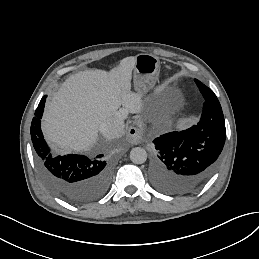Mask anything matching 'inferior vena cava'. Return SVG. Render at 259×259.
<instances>
[{
    "mask_svg": "<svg viewBox=\"0 0 259 259\" xmlns=\"http://www.w3.org/2000/svg\"><path fill=\"white\" fill-rule=\"evenodd\" d=\"M127 117V113L119 111L115 115L105 120L100 125V131L106 138H117L123 134L124 120Z\"/></svg>",
    "mask_w": 259,
    "mask_h": 259,
    "instance_id": "1",
    "label": "inferior vena cava"
}]
</instances>
